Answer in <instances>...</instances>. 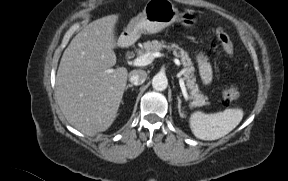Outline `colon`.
<instances>
[{"label":"colon","instance_id":"1","mask_svg":"<svg viewBox=\"0 0 288 181\" xmlns=\"http://www.w3.org/2000/svg\"><path fill=\"white\" fill-rule=\"evenodd\" d=\"M214 34L223 51L228 55H232L234 49L228 34L222 28H216ZM239 95L240 90L236 86H228L224 88L221 93L222 103L224 105H229L232 101L237 99Z\"/></svg>","mask_w":288,"mask_h":181}]
</instances>
